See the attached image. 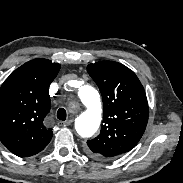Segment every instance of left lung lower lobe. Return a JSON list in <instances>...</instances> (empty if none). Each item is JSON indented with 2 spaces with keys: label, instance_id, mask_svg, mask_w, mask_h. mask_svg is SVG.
<instances>
[{
  "label": "left lung lower lobe",
  "instance_id": "0a47b994",
  "mask_svg": "<svg viewBox=\"0 0 183 183\" xmlns=\"http://www.w3.org/2000/svg\"><path fill=\"white\" fill-rule=\"evenodd\" d=\"M92 155V154H91ZM93 157H95V158H98V157H96V156H94V155H92ZM98 159H100V158H98Z\"/></svg>",
  "mask_w": 183,
  "mask_h": 183
}]
</instances>
